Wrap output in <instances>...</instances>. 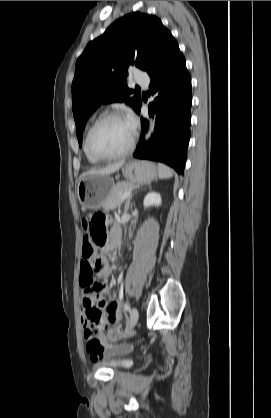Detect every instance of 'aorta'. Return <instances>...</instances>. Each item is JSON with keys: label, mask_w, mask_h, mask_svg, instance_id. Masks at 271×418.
I'll return each mask as SVG.
<instances>
[{"label": "aorta", "mask_w": 271, "mask_h": 418, "mask_svg": "<svg viewBox=\"0 0 271 418\" xmlns=\"http://www.w3.org/2000/svg\"><path fill=\"white\" fill-rule=\"evenodd\" d=\"M154 125H155V120H153L150 124V130H149V134H151L154 130Z\"/></svg>", "instance_id": "1"}]
</instances>
